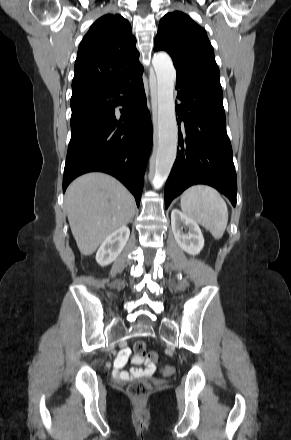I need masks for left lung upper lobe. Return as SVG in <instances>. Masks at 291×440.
Segmentation results:
<instances>
[{
	"label": "left lung upper lobe",
	"instance_id": "5c2ea615",
	"mask_svg": "<svg viewBox=\"0 0 291 440\" xmlns=\"http://www.w3.org/2000/svg\"><path fill=\"white\" fill-rule=\"evenodd\" d=\"M154 50L170 54L176 79L222 93L219 68L206 31L188 15L175 11L161 19Z\"/></svg>",
	"mask_w": 291,
	"mask_h": 440
}]
</instances>
